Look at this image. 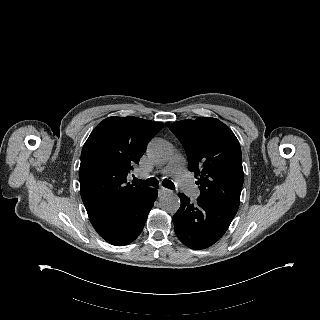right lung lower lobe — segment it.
Masks as SVG:
<instances>
[{
  "mask_svg": "<svg viewBox=\"0 0 320 320\" xmlns=\"http://www.w3.org/2000/svg\"><path fill=\"white\" fill-rule=\"evenodd\" d=\"M156 198L157 189L147 188L129 204L90 221L108 243L116 246L127 245L142 232Z\"/></svg>",
  "mask_w": 320,
  "mask_h": 320,
  "instance_id": "right-lung-lower-lobe-1",
  "label": "right lung lower lobe"
}]
</instances>
